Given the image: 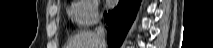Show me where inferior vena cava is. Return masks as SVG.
Here are the masks:
<instances>
[{"label": "inferior vena cava", "mask_w": 213, "mask_h": 48, "mask_svg": "<svg viewBox=\"0 0 213 48\" xmlns=\"http://www.w3.org/2000/svg\"><path fill=\"white\" fill-rule=\"evenodd\" d=\"M99 23V18L96 19V24ZM96 40L98 42L99 48H106V41H105V32L104 27L99 25L95 29Z\"/></svg>", "instance_id": "obj_1"}]
</instances>
